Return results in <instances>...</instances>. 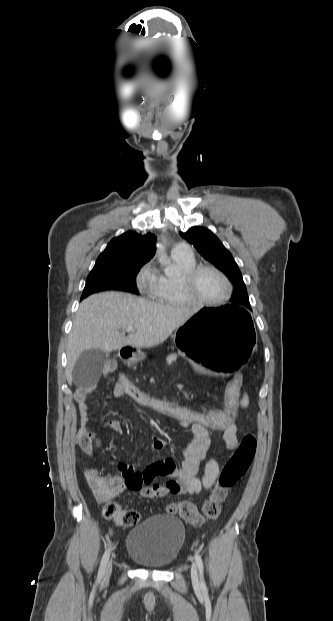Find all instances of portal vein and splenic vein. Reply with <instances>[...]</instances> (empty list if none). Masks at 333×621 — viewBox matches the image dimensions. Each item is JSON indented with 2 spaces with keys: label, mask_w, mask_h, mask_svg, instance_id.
<instances>
[{
  "label": "portal vein and splenic vein",
  "mask_w": 333,
  "mask_h": 621,
  "mask_svg": "<svg viewBox=\"0 0 333 621\" xmlns=\"http://www.w3.org/2000/svg\"><path fill=\"white\" fill-rule=\"evenodd\" d=\"M133 330H134V329H133V327H128V328H126V329L124 330V332H131V331H133Z\"/></svg>",
  "instance_id": "obj_1"
}]
</instances>
